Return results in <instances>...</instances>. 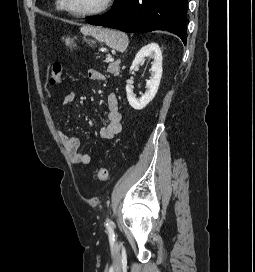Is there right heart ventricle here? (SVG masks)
Wrapping results in <instances>:
<instances>
[{
  "label": "right heart ventricle",
  "mask_w": 255,
  "mask_h": 272,
  "mask_svg": "<svg viewBox=\"0 0 255 272\" xmlns=\"http://www.w3.org/2000/svg\"><path fill=\"white\" fill-rule=\"evenodd\" d=\"M56 9L58 11H65L62 7L61 0H56Z\"/></svg>",
  "instance_id": "right-heart-ventricle-1"
}]
</instances>
